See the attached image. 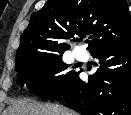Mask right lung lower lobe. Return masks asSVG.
Returning <instances> with one entry per match:
<instances>
[{
    "mask_svg": "<svg viewBox=\"0 0 131 115\" xmlns=\"http://www.w3.org/2000/svg\"><path fill=\"white\" fill-rule=\"evenodd\" d=\"M100 68L83 82L77 75L63 90L66 106L82 115H131V42L91 54Z\"/></svg>",
    "mask_w": 131,
    "mask_h": 115,
    "instance_id": "obj_1",
    "label": "right lung lower lobe"
}]
</instances>
